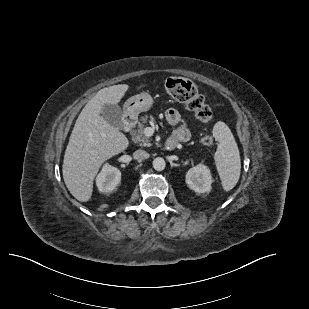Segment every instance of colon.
<instances>
[{
	"label": "colon",
	"mask_w": 309,
	"mask_h": 309,
	"mask_svg": "<svg viewBox=\"0 0 309 309\" xmlns=\"http://www.w3.org/2000/svg\"><path fill=\"white\" fill-rule=\"evenodd\" d=\"M167 92L178 102L183 103L196 117L208 122L212 118V111L205 103L203 96L198 92L196 86L189 80L179 77H170L166 80ZM203 145L209 146L213 138L209 135L201 139Z\"/></svg>",
	"instance_id": "1"
}]
</instances>
